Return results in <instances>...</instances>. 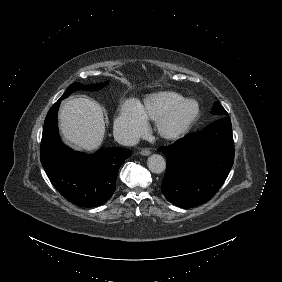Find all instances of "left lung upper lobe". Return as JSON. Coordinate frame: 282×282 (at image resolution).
I'll use <instances>...</instances> for the list:
<instances>
[{
    "label": "left lung upper lobe",
    "instance_id": "obj_1",
    "mask_svg": "<svg viewBox=\"0 0 282 282\" xmlns=\"http://www.w3.org/2000/svg\"><path fill=\"white\" fill-rule=\"evenodd\" d=\"M212 114L225 116L227 112L225 109L221 106L219 102L214 103V106L212 108Z\"/></svg>",
    "mask_w": 282,
    "mask_h": 282
}]
</instances>
